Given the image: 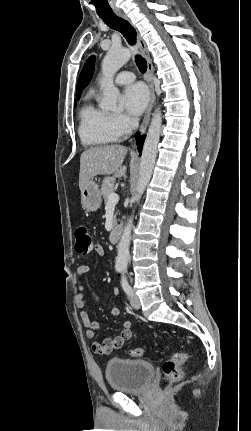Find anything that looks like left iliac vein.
<instances>
[{
  "label": "left iliac vein",
  "mask_w": 251,
  "mask_h": 431,
  "mask_svg": "<svg viewBox=\"0 0 251 431\" xmlns=\"http://www.w3.org/2000/svg\"><path fill=\"white\" fill-rule=\"evenodd\" d=\"M130 304L134 309L140 308V300L138 296L131 290L130 294Z\"/></svg>",
  "instance_id": "obj_1"
}]
</instances>
